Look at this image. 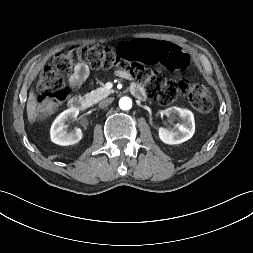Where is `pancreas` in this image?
Segmentation results:
<instances>
[{
	"instance_id": "1",
	"label": "pancreas",
	"mask_w": 253,
	"mask_h": 253,
	"mask_svg": "<svg viewBox=\"0 0 253 253\" xmlns=\"http://www.w3.org/2000/svg\"><path fill=\"white\" fill-rule=\"evenodd\" d=\"M112 92L113 90H107L105 87H100L94 91H91L86 96L90 98L93 102H98L99 100L106 98Z\"/></svg>"
}]
</instances>
